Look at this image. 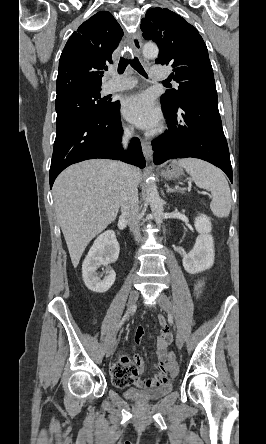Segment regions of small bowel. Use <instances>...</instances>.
<instances>
[{
	"label": "small bowel",
	"mask_w": 266,
	"mask_h": 444,
	"mask_svg": "<svg viewBox=\"0 0 266 444\" xmlns=\"http://www.w3.org/2000/svg\"><path fill=\"white\" fill-rule=\"evenodd\" d=\"M203 284L201 279L196 280L194 284L196 296L200 295ZM159 323L162 329L157 337V363L155 364L157 372L155 376L153 378L141 377V374L145 371V362L139 355H134L132 359L127 356H121L111 365L112 379L117 387L126 388L130 385H135L145 389L155 388L168 382L167 372L174 373L166 362L167 347L172 341V334L164 316H159ZM142 335L143 330L141 328L137 329L134 336L136 345H139Z\"/></svg>",
	"instance_id": "small-bowel-1"
}]
</instances>
